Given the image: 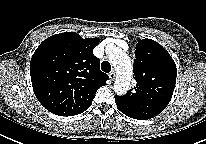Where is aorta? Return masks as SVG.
<instances>
[{"instance_id": "obj_1", "label": "aorta", "mask_w": 206, "mask_h": 144, "mask_svg": "<svg viewBox=\"0 0 206 144\" xmlns=\"http://www.w3.org/2000/svg\"><path fill=\"white\" fill-rule=\"evenodd\" d=\"M109 60L116 71L114 91L124 95L130 87L133 76L132 64L129 56L120 48L114 47L109 52Z\"/></svg>"}]
</instances>
